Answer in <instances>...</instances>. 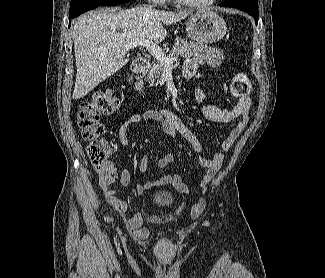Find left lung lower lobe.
I'll list each match as a JSON object with an SVG mask.
<instances>
[{"label":"left lung lower lobe","instance_id":"obj_1","mask_svg":"<svg viewBox=\"0 0 325 278\" xmlns=\"http://www.w3.org/2000/svg\"><path fill=\"white\" fill-rule=\"evenodd\" d=\"M220 6L240 9L253 16L258 23V1L257 0H225Z\"/></svg>","mask_w":325,"mask_h":278}]
</instances>
